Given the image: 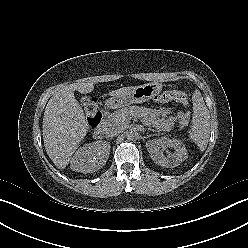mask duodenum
<instances>
[{
    "label": "duodenum",
    "mask_w": 248,
    "mask_h": 248,
    "mask_svg": "<svg viewBox=\"0 0 248 248\" xmlns=\"http://www.w3.org/2000/svg\"><path fill=\"white\" fill-rule=\"evenodd\" d=\"M106 130V110L100 112L97 117L93 119V136L96 139L103 137Z\"/></svg>",
    "instance_id": "duodenum-1"
}]
</instances>
